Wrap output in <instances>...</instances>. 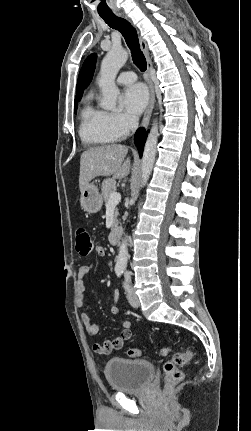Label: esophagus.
Returning <instances> with one entry per match:
<instances>
[{
  "label": "esophagus",
  "instance_id": "1",
  "mask_svg": "<svg viewBox=\"0 0 251 431\" xmlns=\"http://www.w3.org/2000/svg\"><path fill=\"white\" fill-rule=\"evenodd\" d=\"M139 43H140V47L145 55L146 58V62H147V82H148V86H149V91H150V100H149V104L147 106V109L145 111L144 117H143V121H142V127H147L149 122H150V118H151V114L155 105V91H154V85L151 79V71H152V61L149 55V51L147 48V45L145 43V41L139 37Z\"/></svg>",
  "mask_w": 251,
  "mask_h": 431
}]
</instances>
